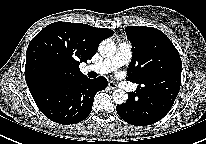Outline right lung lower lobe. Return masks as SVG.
Listing matches in <instances>:
<instances>
[{
  "label": "right lung lower lobe",
  "instance_id": "98d812e1",
  "mask_svg": "<svg viewBox=\"0 0 206 144\" xmlns=\"http://www.w3.org/2000/svg\"><path fill=\"white\" fill-rule=\"evenodd\" d=\"M108 81L84 77L71 83L42 88L32 97L40 111L59 124H74L86 119L92 110L95 94L107 87Z\"/></svg>",
  "mask_w": 206,
  "mask_h": 144
}]
</instances>
